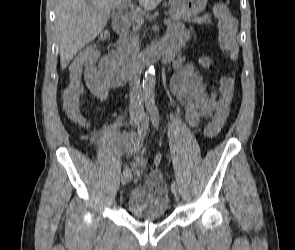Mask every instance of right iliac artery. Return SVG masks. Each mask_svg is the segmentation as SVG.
<instances>
[{"mask_svg": "<svg viewBox=\"0 0 295 250\" xmlns=\"http://www.w3.org/2000/svg\"><path fill=\"white\" fill-rule=\"evenodd\" d=\"M148 125H149V115H148V113H146V115L143 118V122H142L140 128H138V133H140V134L145 133V129L148 128ZM123 174H130V169L128 167H126L123 170Z\"/></svg>", "mask_w": 295, "mask_h": 250, "instance_id": "82829eb1", "label": "right iliac artery"}]
</instances>
